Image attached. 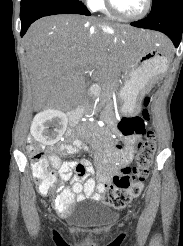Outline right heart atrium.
I'll list each match as a JSON object with an SVG mask.
<instances>
[{
	"label": "right heart atrium",
	"mask_w": 183,
	"mask_h": 246,
	"mask_svg": "<svg viewBox=\"0 0 183 246\" xmlns=\"http://www.w3.org/2000/svg\"><path fill=\"white\" fill-rule=\"evenodd\" d=\"M84 1L87 3L89 8L95 9V7L99 4L101 0H84Z\"/></svg>",
	"instance_id": "obj_1"
}]
</instances>
